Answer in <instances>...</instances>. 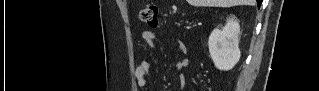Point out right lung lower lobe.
Segmentation results:
<instances>
[{
    "label": "right lung lower lobe",
    "instance_id": "98d812e1",
    "mask_svg": "<svg viewBox=\"0 0 319 91\" xmlns=\"http://www.w3.org/2000/svg\"><path fill=\"white\" fill-rule=\"evenodd\" d=\"M261 3H262V0H257L258 7H260Z\"/></svg>",
    "mask_w": 319,
    "mask_h": 91
}]
</instances>
